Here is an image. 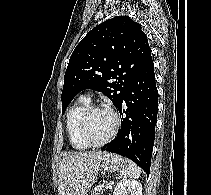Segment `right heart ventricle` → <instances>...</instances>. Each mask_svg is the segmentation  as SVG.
Returning <instances> with one entry per match:
<instances>
[{
  "instance_id": "e07e8e85",
  "label": "right heart ventricle",
  "mask_w": 211,
  "mask_h": 195,
  "mask_svg": "<svg viewBox=\"0 0 211 195\" xmlns=\"http://www.w3.org/2000/svg\"><path fill=\"white\" fill-rule=\"evenodd\" d=\"M90 99L81 96L77 102L70 107L66 117V129L69 136L70 144L77 150H84L88 148L80 139L77 131L78 120L83 111L89 106Z\"/></svg>"
}]
</instances>
